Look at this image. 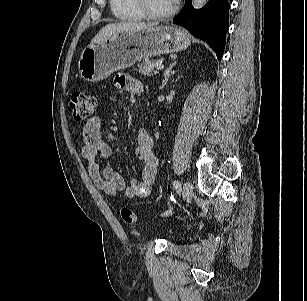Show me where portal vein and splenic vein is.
I'll use <instances>...</instances> for the list:
<instances>
[{"label":"portal vein and splenic vein","instance_id":"1","mask_svg":"<svg viewBox=\"0 0 307 301\" xmlns=\"http://www.w3.org/2000/svg\"><path fill=\"white\" fill-rule=\"evenodd\" d=\"M162 69H164V65L161 64L156 65V70H162Z\"/></svg>","mask_w":307,"mask_h":301}]
</instances>
